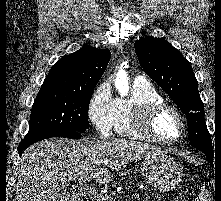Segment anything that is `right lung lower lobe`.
<instances>
[{
    "instance_id": "right-lung-lower-lobe-1",
    "label": "right lung lower lobe",
    "mask_w": 221,
    "mask_h": 201,
    "mask_svg": "<svg viewBox=\"0 0 221 201\" xmlns=\"http://www.w3.org/2000/svg\"><path fill=\"white\" fill-rule=\"evenodd\" d=\"M82 135L80 132L73 130H63V129H49L43 130L34 134H27L21 141L18 147L19 155L21 156L22 151L26 149L31 144L40 141L42 139L51 137H68V138H80Z\"/></svg>"
}]
</instances>
